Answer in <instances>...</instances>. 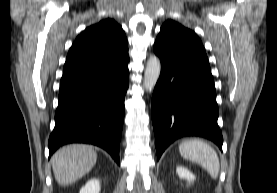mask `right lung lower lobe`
Here are the masks:
<instances>
[{"label":"right lung lower lobe","mask_w":277,"mask_h":193,"mask_svg":"<svg viewBox=\"0 0 277 193\" xmlns=\"http://www.w3.org/2000/svg\"><path fill=\"white\" fill-rule=\"evenodd\" d=\"M128 62L127 53L99 69L62 77L49 156L62 145L87 143L105 149L120 163Z\"/></svg>","instance_id":"98d812e1"}]
</instances>
